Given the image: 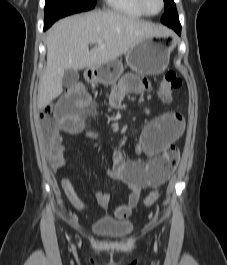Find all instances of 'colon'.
<instances>
[{
	"label": "colon",
	"instance_id": "obj_1",
	"mask_svg": "<svg viewBox=\"0 0 227 265\" xmlns=\"http://www.w3.org/2000/svg\"><path fill=\"white\" fill-rule=\"evenodd\" d=\"M182 85L181 78L173 71L167 72L160 82L158 97L163 103H169L172 100V93L174 90L178 89ZM71 87H83L81 84H75ZM85 91V90H84ZM52 113V107L47 106L43 109L41 117L43 119H49ZM48 130L51 131V123L47 126ZM179 153L175 147L169 148L164 154L157 158L156 164L158 168L163 173V178H168L172 171L174 170ZM159 197V192L157 190L151 191L145 198L144 204L146 206L153 205Z\"/></svg>",
	"mask_w": 227,
	"mask_h": 265
}]
</instances>
